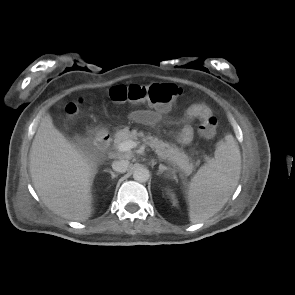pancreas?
Wrapping results in <instances>:
<instances>
[{"label": "pancreas", "mask_w": 295, "mask_h": 295, "mask_svg": "<svg viewBox=\"0 0 295 295\" xmlns=\"http://www.w3.org/2000/svg\"><path fill=\"white\" fill-rule=\"evenodd\" d=\"M155 150L159 159L170 163L173 167L179 168L184 174L189 175L194 168L191 158L174 144L164 142L150 133L138 132L136 129L129 130V127L118 130L115 133L114 145L118 146L126 140H139Z\"/></svg>", "instance_id": "pancreas-1"}]
</instances>
